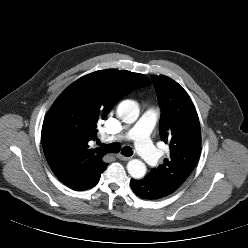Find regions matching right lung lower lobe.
Masks as SVG:
<instances>
[{"label": "right lung lower lobe", "instance_id": "obj_1", "mask_svg": "<svg viewBox=\"0 0 248 248\" xmlns=\"http://www.w3.org/2000/svg\"><path fill=\"white\" fill-rule=\"evenodd\" d=\"M99 179H100V175L96 177L87 187L83 188L80 191L87 190V189L94 187L98 183Z\"/></svg>", "mask_w": 248, "mask_h": 248}]
</instances>
